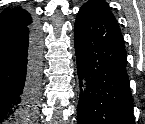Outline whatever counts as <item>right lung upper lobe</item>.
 Returning a JSON list of instances; mask_svg holds the SVG:
<instances>
[{"label":"right lung upper lobe","instance_id":"right-lung-upper-lobe-1","mask_svg":"<svg viewBox=\"0 0 145 124\" xmlns=\"http://www.w3.org/2000/svg\"><path fill=\"white\" fill-rule=\"evenodd\" d=\"M32 24V18L27 11L19 7L5 9L0 14V31L21 29Z\"/></svg>","mask_w":145,"mask_h":124}]
</instances>
